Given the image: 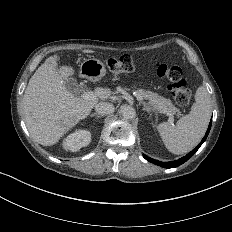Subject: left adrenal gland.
Instances as JSON below:
<instances>
[{"instance_id": "1", "label": "left adrenal gland", "mask_w": 232, "mask_h": 232, "mask_svg": "<svg viewBox=\"0 0 232 232\" xmlns=\"http://www.w3.org/2000/svg\"><path fill=\"white\" fill-rule=\"evenodd\" d=\"M142 103V102H141ZM143 104V103H142ZM143 110H146L147 112H150L149 110H147L145 107L143 108ZM153 124V123H152Z\"/></svg>"}]
</instances>
